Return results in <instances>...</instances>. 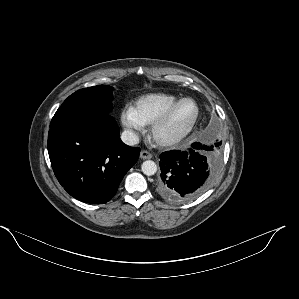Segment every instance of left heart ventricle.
<instances>
[{"instance_id":"b2bd125f","label":"left heart ventricle","mask_w":299,"mask_h":299,"mask_svg":"<svg viewBox=\"0 0 299 299\" xmlns=\"http://www.w3.org/2000/svg\"><path fill=\"white\" fill-rule=\"evenodd\" d=\"M196 113L195 105L190 101L180 104L172 113L169 120L161 128L162 137H170L188 128Z\"/></svg>"}]
</instances>
